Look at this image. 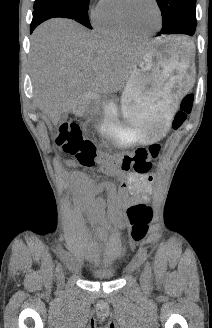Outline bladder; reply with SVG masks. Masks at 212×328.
<instances>
[{"mask_svg":"<svg viewBox=\"0 0 212 328\" xmlns=\"http://www.w3.org/2000/svg\"><path fill=\"white\" fill-rule=\"evenodd\" d=\"M92 275L99 279H110L114 276V273L107 270L94 269Z\"/></svg>","mask_w":212,"mask_h":328,"instance_id":"31cf9c89","label":"bladder"}]
</instances>
